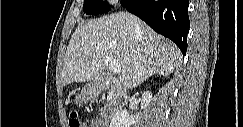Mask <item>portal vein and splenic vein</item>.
I'll return each mask as SVG.
<instances>
[{"mask_svg":"<svg viewBox=\"0 0 243 127\" xmlns=\"http://www.w3.org/2000/svg\"><path fill=\"white\" fill-rule=\"evenodd\" d=\"M104 63L106 64V66L109 68V70L114 73V74H118L121 71V66L118 62H116L115 60L111 59L110 57H105L104 58Z\"/></svg>","mask_w":243,"mask_h":127,"instance_id":"1","label":"portal vein and splenic vein"}]
</instances>
